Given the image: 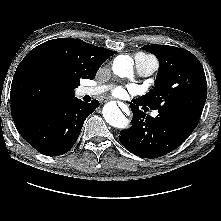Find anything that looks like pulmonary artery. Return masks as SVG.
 Returning a JSON list of instances; mask_svg holds the SVG:
<instances>
[{"instance_id":"pulmonary-artery-1","label":"pulmonary artery","mask_w":221,"mask_h":221,"mask_svg":"<svg viewBox=\"0 0 221 221\" xmlns=\"http://www.w3.org/2000/svg\"><path fill=\"white\" fill-rule=\"evenodd\" d=\"M135 68L139 76L148 77L152 75L158 68V62L155 58L150 56H144L143 54H136L134 57ZM107 90L106 85H99L94 87H83L81 89L82 95H98ZM153 116H157V112L153 113Z\"/></svg>"}]
</instances>
